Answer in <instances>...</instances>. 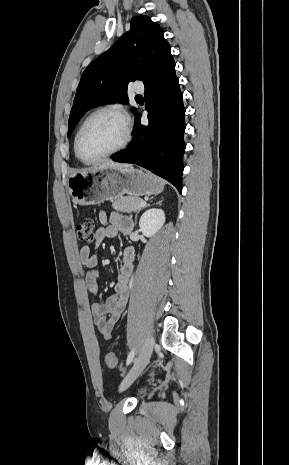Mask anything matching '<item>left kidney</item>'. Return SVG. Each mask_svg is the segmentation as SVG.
<instances>
[{"label": "left kidney", "instance_id": "obj_1", "mask_svg": "<svg viewBox=\"0 0 289 465\" xmlns=\"http://www.w3.org/2000/svg\"><path fill=\"white\" fill-rule=\"evenodd\" d=\"M164 223V211L152 208L142 214L139 220V227L146 237H152L162 228Z\"/></svg>", "mask_w": 289, "mask_h": 465}]
</instances>
